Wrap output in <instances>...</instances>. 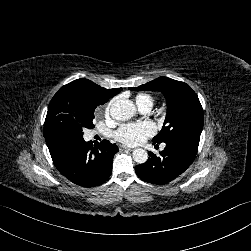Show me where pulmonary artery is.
I'll use <instances>...</instances> for the list:
<instances>
[{
    "mask_svg": "<svg viewBox=\"0 0 251 251\" xmlns=\"http://www.w3.org/2000/svg\"><path fill=\"white\" fill-rule=\"evenodd\" d=\"M151 108H152L151 104H145V105L139 107V109L142 113L150 112Z\"/></svg>",
    "mask_w": 251,
    "mask_h": 251,
    "instance_id": "e3ab8cb5",
    "label": "pulmonary artery"
}]
</instances>
